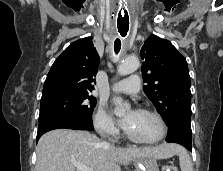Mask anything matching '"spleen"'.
Here are the masks:
<instances>
[{"mask_svg":"<svg viewBox=\"0 0 223 171\" xmlns=\"http://www.w3.org/2000/svg\"><path fill=\"white\" fill-rule=\"evenodd\" d=\"M176 154L179 156V164L181 171H194L193 164L189 154L180 146L176 147Z\"/></svg>","mask_w":223,"mask_h":171,"instance_id":"3e777b00","label":"spleen"}]
</instances>
